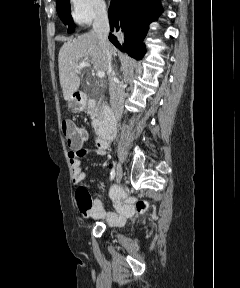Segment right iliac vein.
Masks as SVG:
<instances>
[{
	"instance_id": "obj_1",
	"label": "right iliac vein",
	"mask_w": 240,
	"mask_h": 288,
	"mask_svg": "<svg viewBox=\"0 0 240 288\" xmlns=\"http://www.w3.org/2000/svg\"><path fill=\"white\" fill-rule=\"evenodd\" d=\"M115 170H116L115 185L118 186L120 184V182L122 180V176H123L122 168H121V165L119 163L116 164Z\"/></svg>"
}]
</instances>
